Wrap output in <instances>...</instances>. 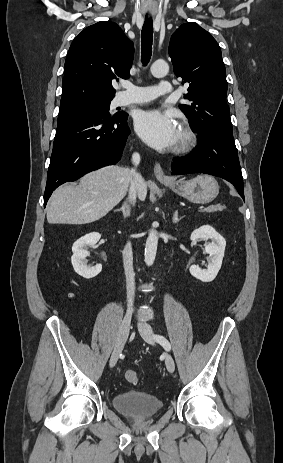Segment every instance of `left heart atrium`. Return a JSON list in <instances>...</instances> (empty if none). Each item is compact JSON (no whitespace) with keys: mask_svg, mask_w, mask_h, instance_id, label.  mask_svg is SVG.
I'll list each match as a JSON object with an SVG mask.
<instances>
[{"mask_svg":"<svg viewBox=\"0 0 283 463\" xmlns=\"http://www.w3.org/2000/svg\"><path fill=\"white\" fill-rule=\"evenodd\" d=\"M135 131L148 145L168 149L178 139V126L172 116L156 109L140 111L135 117Z\"/></svg>","mask_w":283,"mask_h":463,"instance_id":"left-heart-atrium-1","label":"left heart atrium"}]
</instances>
